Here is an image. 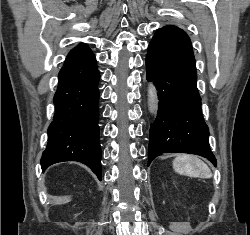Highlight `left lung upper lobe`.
Segmentation results:
<instances>
[{"label":"left lung upper lobe","mask_w":250,"mask_h":235,"mask_svg":"<svg viewBox=\"0 0 250 235\" xmlns=\"http://www.w3.org/2000/svg\"><path fill=\"white\" fill-rule=\"evenodd\" d=\"M160 29H173V30H177V31H180V32L184 33V31L182 29L178 28L175 25H166V26H164V27H162Z\"/></svg>","instance_id":"5c2ea615"}]
</instances>
